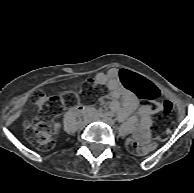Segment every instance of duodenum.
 Listing matches in <instances>:
<instances>
[{"label": "duodenum", "mask_w": 194, "mask_h": 193, "mask_svg": "<svg viewBox=\"0 0 194 193\" xmlns=\"http://www.w3.org/2000/svg\"><path fill=\"white\" fill-rule=\"evenodd\" d=\"M71 111L75 115H92V116H97L99 118L104 119L105 114L104 113H99L91 108L88 107H83V106H74L71 108ZM96 119V118H94Z\"/></svg>", "instance_id": "1"}]
</instances>
